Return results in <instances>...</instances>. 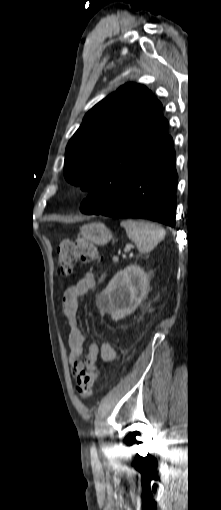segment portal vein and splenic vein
Instances as JSON below:
<instances>
[{
    "label": "portal vein and splenic vein",
    "instance_id": "obj_1",
    "mask_svg": "<svg viewBox=\"0 0 221 510\" xmlns=\"http://www.w3.org/2000/svg\"><path fill=\"white\" fill-rule=\"evenodd\" d=\"M127 250H130V248H125V251H127ZM118 260H119V257H118V256H114V257H113V261H114V262H116V261H118Z\"/></svg>",
    "mask_w": 221,
    "mask_h": 510
}]
</instances>
